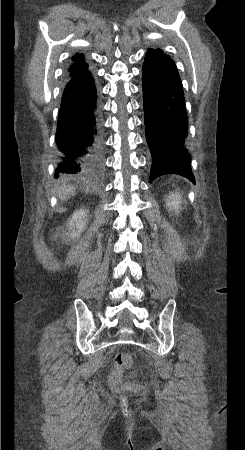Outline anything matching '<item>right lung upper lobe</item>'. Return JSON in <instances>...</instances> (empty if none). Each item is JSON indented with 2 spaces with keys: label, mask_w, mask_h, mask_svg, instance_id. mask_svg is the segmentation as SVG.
<instances>
[{
  "label": "right lung upper lobe",
  "mask_w": 245,
  "mask_h": 450,
  "mask_svg": "<svg viewBox=\"0 0 245 450\" xmlns=\"http://www.w3.org/2000/svg\"><path fill=\"white\" fill-rule=\"evenodd\" d=\"M73 65L68 70V78L75 76L87 67L82 54L73 57Z\"/></svg>",
  "instance_id": "1"
}]
</instances>
